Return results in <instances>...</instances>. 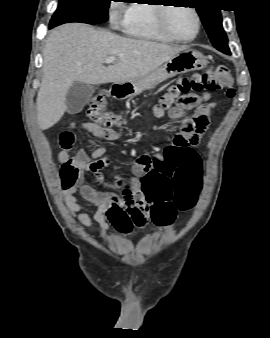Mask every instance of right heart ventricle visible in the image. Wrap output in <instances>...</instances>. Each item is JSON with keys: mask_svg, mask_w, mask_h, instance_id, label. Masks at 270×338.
<instances>
[{"mask_svg": "<svg viewBox=\"0 0 270 338\" xmlns=\"http://www.w3.org/2000/svg\"><path fill=\"white\" fill-rule=\"evenodd\" d=\"M157 6L153 4H133L128 8L127 20L122 25L123 31L136 38L168 42L157 26Z\"/></svg>", "mask_w": 270, "mask_h": 338, "instance_id": "e07e8e85", "label": "right heart ventricle"}]
</instances>
